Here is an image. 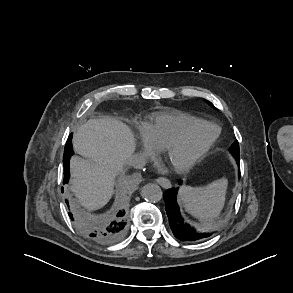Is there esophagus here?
I'll list each match as a JSON object with an SVG mask.
<instances>
[{
    "label": "esophagus",
    "mask_w": 293,
    "mask_h": 293,
    "mask_svg": "<svg viewBox=\"0 0 293 293\" xmlns=\"http://www.w3.org/2000/svg\"><path fill=\"white\" fill-rule=\"evenodd\" d=\"M156 182L162 187H168L170 185V181L166 178H158L156 179Z\"/></svg>",
    "instance_id": "esophagus-1"
}]
</instances>
